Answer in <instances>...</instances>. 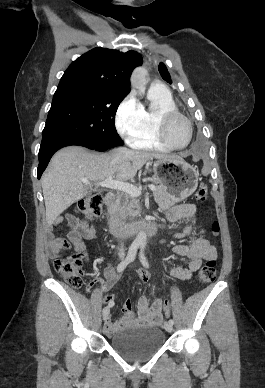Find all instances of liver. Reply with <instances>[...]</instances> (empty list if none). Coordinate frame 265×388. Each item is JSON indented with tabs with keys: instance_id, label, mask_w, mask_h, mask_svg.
<instances>
[{
	"instance_id": "6515ba94",
	"label": "liver",
	"mask_w": 265,
	"mask_h": 388,
	"mask_svg": "<svg viewBox=\"0 0 265 388\" xmlns=\"http://www.w3.org/2000/svg\"><path fill=\"white\" fill-rule=\"evenodd\" d=\"M152 158L182 160L180 156L127 148H117L109 154H89L81 146H68L56 152L41 178L49 228L64 210L88 194L81 178L102 182L109 176H115L116 182H127L133 180L138 170Z\"/></svg>"
}]
</instances>
